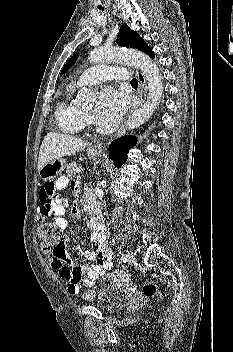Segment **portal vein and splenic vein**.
Here are the masks:
<instances>
[{"mask_svg":"<svg viewBox=\"0 0 233 352\" xmlns=\"http://www.w3.org/2000/svg\"><path fill=\"white\" fill-rule=\"evenodd\" d=\"M81 171V168H77L76 172L79 173Z\"/></svg>","mask_w":233,"mask_h":352,"instance_id":"1","label":"portal vein and splenic vein"}]
</instances>
